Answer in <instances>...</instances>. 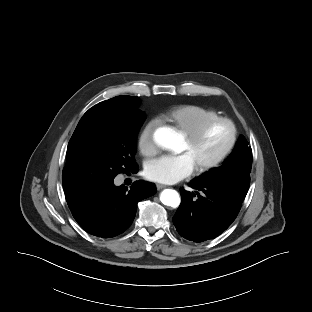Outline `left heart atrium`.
Returning a JSON list of instances; mask_svg holds the SVG:
<instances>
[{
  "instance_id": "left-heart-atrium-1",
  "label": "left heart atrium",
  "mask_w": 312,
  "mask_h": 312,
  "mask_svg": "<svg viewBox=\"0 0 312 312\" xmlns=\"http://www.w3.org/2000/svg\"><path fill=\"white\" fill-rule=\"evenodd\" d=\"M194 168L191 159L185 153L164 155L146 166L145 177L154 182L172 184L191 175Z\"/></svg>"
}]
</instances>
